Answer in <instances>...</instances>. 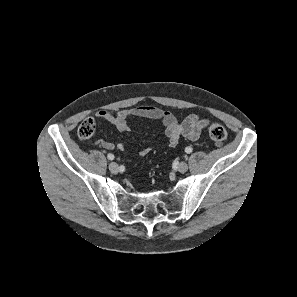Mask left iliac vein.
<instances>
[{"instance_id":"obj_1","label":"left iliac vein","mask_w":297,"mask_h":297,"mask_svg":"<svg viewBox=\"0 0 297 297\" xmlns=\"http://www.w3.org/2000/svg\"><path fill=\"white\" fill-rule=\"evenodd\" d=\"M188 170V165L186 162H180L178 165V171L184 173Z\"/></svg>"}]
</instances>
